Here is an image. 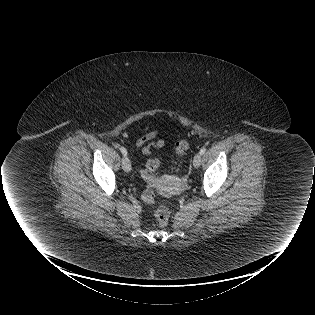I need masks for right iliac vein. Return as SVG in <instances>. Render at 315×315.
<instances>
[{"label":"right iliac vein","instance_id":"1","mask_svg":"<svg viewBox=\"0 0 315 315\" xmlns=\"http://www.w3.org/2000/svg\"><path fill=\"white\" fill-rule=\"evenodd\" d=\"M122 167L125 172H130L131 171V162L128 159V157L124 156L122 159Z\"/></svg>","mask_w":315,"mask_h":315}]
</instances>
